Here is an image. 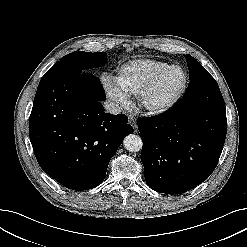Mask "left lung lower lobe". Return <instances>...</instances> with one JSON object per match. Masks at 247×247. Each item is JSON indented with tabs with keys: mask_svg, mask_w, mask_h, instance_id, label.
Listing matches in <instances>:
<instances>
[{
	"mask_svg": "<svg viewBox=\"0 0 247 247\" xmlns=\"http://www.w3.org/2000/svg\"><path fill=\"white\" fill-rule=\"evenodd\" d=\"M190 86L193 96L137 121L146 183L157 192L181 194L205 181L224 146L226 109L217 82L205 75Z\"/></svg>",
	"mask_w": 247,
	"mask_h": 247,
	"instance_id": "obj_1",
	"label": "left lung lower lobe"
}]
</instances>
